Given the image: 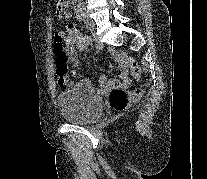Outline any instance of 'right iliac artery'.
<instances>
[{
  "instance_id": "1",
  "label": "right iliac artery",
  "mask_w": 207,
  "mask_h": 179,
  "mask_svg": "<svg viewBox=\"0 0 207 179\" xmlns=\"http://www.w3.org/2000/svg\"><path fill=\"white\" fill-rule=\"evenodd\" d=\"M74 14L79 21H84V14L80 6L74 8Z\"/></svg>"
}]
</instances>
